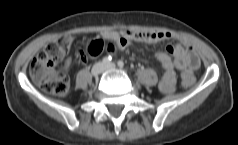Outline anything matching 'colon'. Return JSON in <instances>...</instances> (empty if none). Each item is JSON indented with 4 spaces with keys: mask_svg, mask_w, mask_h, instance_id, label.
Segmentation results:
<instances>
[{
    "mask_svg": "<svg viewBox=\"0 0 238 145\" xmlns=\"http://www.w3.org/2000/svg\"><path fill=\"white\" fill-rule=\"evenodd\" d=\"M69 37H61L50 41L31 61L29 71L40 87L54 95L64 96L69 90V77L65 72L57 71L55 66L64 58L71 46ZM116 45L114 42H104L103 40H92L85 47V52L95 57L103 51L114 52ZM182 81L185 86H189L194 81L192 73L182 74Z\"/></svg>",
    "mask_w": 238,
    "mask_h": 145,
    "instance_id": "obj_1",
    "label": "colon"
}]
</instances>
